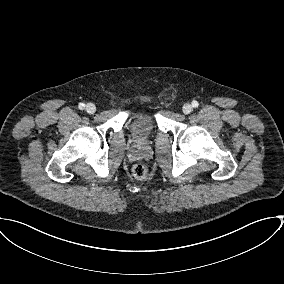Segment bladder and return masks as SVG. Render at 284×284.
<instances>
[{"label":"bladder","instance_id":"obj_1","mask_svg":"<svg viewBox=\"0 0 284 284\" xmlns=\"http://www.w3.org/2000/svg\"><path fill=\"white\" fill-rule=\"evenodd\" d=\"M154 123L153 116L149 113H144L131 120L130 131L136 140H146L153 132Z\"/></svg>","mask_w":284,"mask_h":284}]
</instances>
